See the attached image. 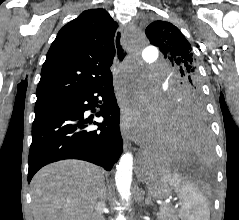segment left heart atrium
Wrapping results in <instances>:
<instances>
[{
	"label": "left heart atrium",
	"instance_id": "1",
	"mask_svg": "<svg viewBox=\"0 0 239 220\" xmlns=\"http://www.w3.org/2000/svg\"><path fill=\"white\" fill-rule=\"evenodd\" d=\"M141 120V117L134 114V113H131V115L129 116V119H128V122H129V125L131 127H143L145 126V123H143Z\"/></svg>",
	"mask_w": 239,
	"mask_h": 220
}]
</instances>
